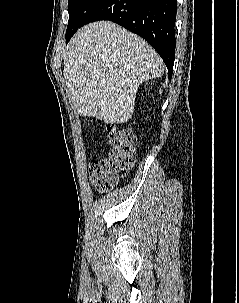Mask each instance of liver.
Wrapping results in <instances>:
<instances>
[{
	"instance_id": "1",
	"label": "liver",
	"mask_w": 239,
	"mask_h": 303,
	"mask_svg": "<svg viewBox=\"0 0 239 303\" xmlns=\"http://www.w3.org/2000/svg\"><path fill=\"white\" fill-rule=\"evenodd\" d=\"M163 73L162 59L146 41L110 21L79 29L64 58L73 108L105 123L128 122L139 85Z\"/></svg>"
}]
</instances>
